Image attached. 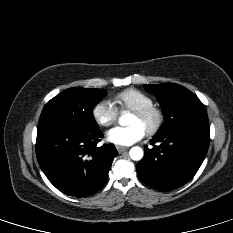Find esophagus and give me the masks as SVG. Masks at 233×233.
Segmentation results:
<instances>
[{
  "mask_svg": "<svg viewBox=\"0 0 233 233\" xmlns=\"http://www.w3.org/2000/svg\"><path fill=\"white\" fill-rule=\"evenodd\" d=\"M116 149H117L118 153H122V152L126 151L128 149V147L117 145Z\"/></svg>",
  "mask_w": 233,
  "mask_h": 233,
  "instance_id": "34e87169",
  "label": "esophagus"
}]
</instances>
